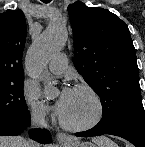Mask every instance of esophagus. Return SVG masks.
<instances>
[{"label":"esophagus","instance_id":"34e87169","mask_svg":"<svg viewBox=\"0 0 145 147\" xmlns=\"http://www.w3.org/2000/svg\"><path fill=\"white\" fill-rule=\"evenodd\" d=\"M57 140L60 142V143H63V142H70L71 141V138L69 136H67L65 133L63 132H58L57 135Z\"/></svg>","mask_w":145,"mask_h":147}]
</instances>
